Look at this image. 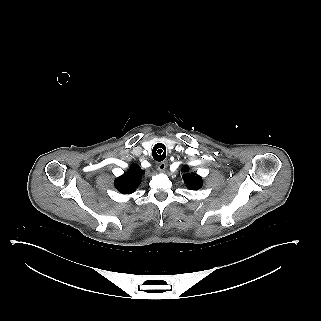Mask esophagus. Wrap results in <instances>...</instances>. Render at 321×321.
<instances>
[{
	"instance_id": "esophagus-1",
	"label": "esophagus",
	"mask_w": 321,
	"mask_h": 321,
	"mask_svg": "<svg viewBox=\"0 0 321 321\" xmlns=\"http://www.w3.org/2000/svg\"><path fill=\"white\" fill-rule=\"evenodd\" d=\"M166 167H167V162H166V161H165V162H162V163H160V164L158 165V171H159V172H164L165 169H166Z\"/></svg>"
}]
</instances>
